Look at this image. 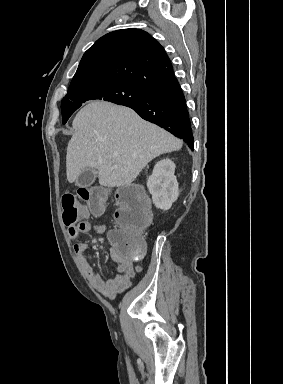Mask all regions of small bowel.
I'll return each instance as SVG.
<instances>
[{"label":"small bowel","instance_id":"1","mask_svg":"<svg viewBox=\"0 0 283 384\" xmlns=\"http://www.w3.org/2000/svg\"><path fill=\"white\" fill-rule=\"evenodd\" d=\"M91 230L99 234L106 232L104 225H92L88 221H82L76 226L69 227V236L73 240H77L80 235L86 234ZM74 253L80 264L82 271L85 273L90 284L102 295L109 299H113L117 294L125 291L131 285V280L136 273L140 271L139 266H134L132 261L123 259L114 247L110 249L112 259L117 262V274L108 279L102 278L101 275L95 273L86 258L88 246L85 242L77 241L73 246Z\"/></svg>","mask_w":283,"mask_h":384}]
</instances>
